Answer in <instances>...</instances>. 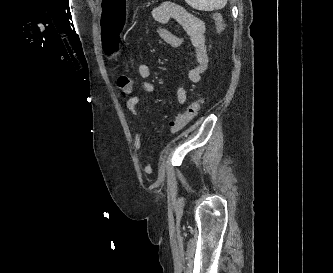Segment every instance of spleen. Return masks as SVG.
<instances>
[{"label":"spleen","mask_w":333,"mask_h":273,"mask_svg":"<svg viewBox=\"0 0 333 273\" xmlns=\"http://www.w3.org/2000/svg\"><path fill=\"white\" fill-rule=\"evenodd\" d=\"M191 7L201 11H214L225 7L228 0H185Z\"/></svg>","instance_id":"3e777b00"}]
</instances>
